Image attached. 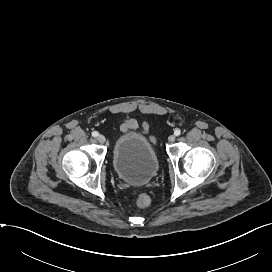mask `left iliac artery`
<instances>
[{"mask_svg":"<svg viewBox=\"0 0 272 272\" xmlns=\"http://www.w3.org/2000/svg\"><path fill=\"white\" fill-rule=\"evenodd\" d=\"M181 134V131L179 130V129H176L175 131H174V135L175 136H179Z\"/></svg>","mask_w":272,"mask_h":272,"instance_id":"44dca946","label":"left iliac artery"}]
</instances>
